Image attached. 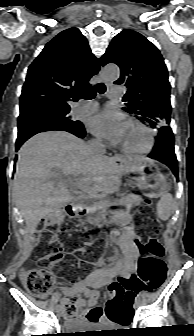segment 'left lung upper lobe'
Instances as JSON below:
<instances>
[{
    "label": "left lung upper lobe",
    "instance_id": "left-lung-upper-lobe-1",
    "mask_svg": "<svg viewBox=\"0 0 194 336\" xmlns=\"http://www.w3.org/2000/svg\"><path fill=\"white\" fill-rule=\"evenodd\" d=\"M115 63L127 87L123 110L153 128L170 124V83L164 59L154 44L141 34L125 29L117 34L101 58L102 66Z\"/></svg>",
    "mask_w": 194,
    "mask_h": 336
}]
</instances>
